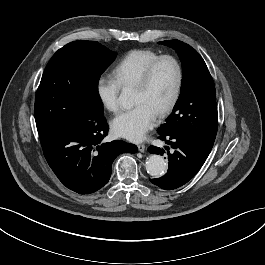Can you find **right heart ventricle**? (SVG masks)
<instances>
[{
  "label": "right heart ventricle",
  "mask_w": 265,
  "mask_h": 265,
  "mask_svg": "<svg viewBox=\"0 0 265 265\" xmlns=\"http://www.w3.org/2000/svg\"><path fill=\"white\" fill-rule=\"evenodd\" d=\"M159 55L147 49H135L126 53L113 69L114 78L120 87L127 88L136 84L144 69Z\"/></svg>",
  "instance_id": "1"
}]
</instances>
